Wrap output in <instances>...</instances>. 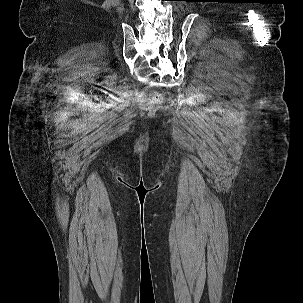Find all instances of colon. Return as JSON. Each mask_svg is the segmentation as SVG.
I'll use <instances>...</instances> for the list:
<instances>
[{
    "mask_svg": "<svg viewBox=\"0 0 303 303\" xmlns=\"http://www.w3.org/2000/svg\"><path fill=\"white\" fill-rule=\"evenodd\" d=\"M160 100V97L158 95L154 96V101L158 102Z\"/></svg>",
    "mask_w": 303,
    "mask_h": 303,
    "instance_id": "obj_1",
    "label": "colon"
}]
</instances>
